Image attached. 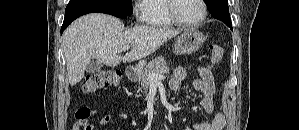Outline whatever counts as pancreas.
<instances>
[{"instance_id":"obj_1","label":"pancreas","mask_w":299,"mask_h":130,"mask_svg":"<svg viewBox=\"0 0 299 130\" xmlns=\"http://www.w3.org/2000/svg\"><path fill=\"white\" fill-rule=\"evenodd\" d=\"M170 68L166 64V60L163 56H159L152 60L137 76L136 81L139 83V89L137 93L140 95L147 94L150 86L149 74H165L169 73Z\"/></svg>"}]
</instances>
